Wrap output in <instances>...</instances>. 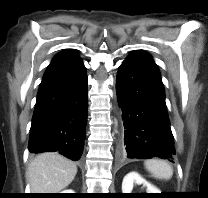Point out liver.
<instances>
[{
	"label": "liver",
	"mask_w": 208,
	"mask_h": 198,
	"mask_svg": "<svg viewBox=\"0 0 208 198\" xmlns=\"http://www.w3.org/2000/svg\"><path fill=\"white\" fill-rule=\"evenodd\" d=\"M76 173L74 162L58 153L46 152L29 163L26 179L32 193H58L73 181Z\"/></svg>",
	"instance_id": "1"
}]
</instances>
